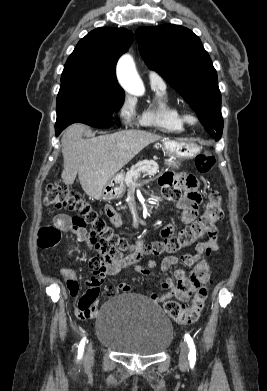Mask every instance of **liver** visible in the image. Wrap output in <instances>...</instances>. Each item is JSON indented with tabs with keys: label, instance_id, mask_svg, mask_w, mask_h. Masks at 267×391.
<instances>
[{
	"label": "liver",
	"instance_id": "liver-1",
	"mask_svg": "<svg viewBox=\"0 0 267 391\" xmlns=\"http://www.w3.org/2000/svg\"><path fill=\"white\" fill-rule=\"evenodd\" d=\"M87 127L73 124L61 139L64 168L63 181L71 185L76 175L84 192L100 199L103 187L141 150L161 139L143 130H123L113 134L83 139Z\"/></svg>",
	"mask_w": 267,
	"mask_h": 391
}]
</instances>
